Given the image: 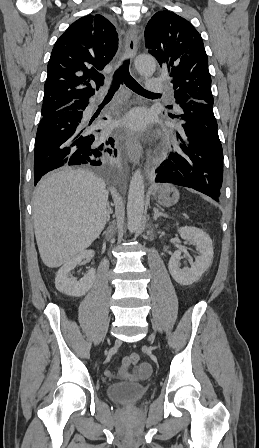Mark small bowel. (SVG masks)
<instances>
[{"label": "small bowel", "mask_w": 259, "mask_h": 448, "mask_svg": "<svg viewBox=\"0 0 259 448\" xmlns=\"http://www.w3.org/2000/svg\"><path fill=\"white\" fill-rule=\"evenodd\" d=\"M128 357L124 358L118 370L107 369L105 375L109 378L121 377L130 381H139L147 378L151 373V366L148 362H142L133 371L130 370Z\"/></svg>", "instance_id": "obj_1"}]
</instances>
